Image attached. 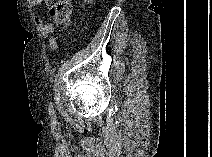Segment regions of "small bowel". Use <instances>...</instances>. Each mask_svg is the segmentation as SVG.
I'll return each mask as SVG.
<instances>
[{"mask_svg":"<svg viewBox=\"0 0 212 157\" xmlns=\"http://www.w3.org/2000/svg\"><path fill=\"white\" fill-rule=\"evenodd\" d=\"M29 5L32 7H40L42 5V0H30ZM35 23L38 29L41 31L42 35L47 39L51 49H56L57 42L52 36L54 31V26L51 22L43 23L40 17H35Z\"/></svg>","mask_w":212,"mask_h":157,"instance_id":"1","label":"small bowel"}]
</instances>
